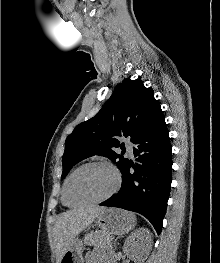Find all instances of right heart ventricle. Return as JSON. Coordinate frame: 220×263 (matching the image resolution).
<instances>
[{
    "label": "right heart ventricle",
    "instance_id": "obj_1",
    "mask_svg": "<svg viewBox=\"0 0 220 263\" xmlns=\"http://www.w3.org/2000/svg\"><path fill=\"white\" fill-rule=\"evenodd\" d=\"M63 191H64V187H63ZM62 202H63V204H65L64 199H63V192H62Z\"/></svg>",
    "mask_w": 220,
    "mask_h": 263
}]
</instances>
